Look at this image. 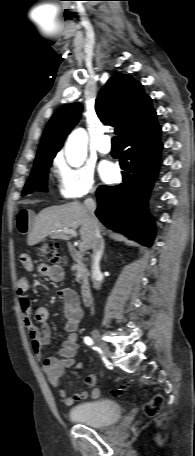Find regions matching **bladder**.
<instances>
[{"mask_svg": "<svg viewBox=\"0 0 195 456\" xmlns=\"http://www.w3.org/2000/svg\"><path fill=\"white\" fill-rule=\"evenodd\" d=\"M122 416L121 405L113 400L99 399L78 404L69 411V418L94 428L115 424Z\"/></svg>", "mask_w": 195, "mask_h": 456, "instance_id": "31cf9c89", "label": "bladder"}]
</instances>
